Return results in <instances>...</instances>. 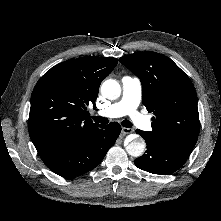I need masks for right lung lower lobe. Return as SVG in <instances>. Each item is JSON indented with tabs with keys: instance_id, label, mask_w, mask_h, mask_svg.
<instances>
[{
	"instance_id": "98d812e1",
	"label": "right lung lower lobe",
	"mask_w": 221,
	"mask_h": 221,
	"mask_svg": "<svg viewBox=\"0 0 221 221\" xmlns=\"http://www.w3.org/2000/svg\"><path fill=\"white\" fill-rule=\"evenodd\" d=\"M120 132L119 123L100 125L87 137L63 144L41 157L54 173L63 177L79 176L101 163Z\"/></svg>"
}]
</instances>
